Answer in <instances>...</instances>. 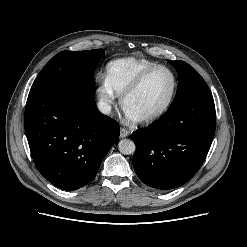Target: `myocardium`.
Listing matches in <instances>:
<instances>
[{
	"label": "myocardium",
	"instance_id": "myocardium-1",
	"mask_svg": "<svg viewBox=\"0 0 247 247\" xmlns=\"http://www.w3.org/2000/svg\"><path fill=\"white\" fill-rule=\"evenodd\" d=\"M165 71L167 72L171 78H172V82H173V87H172V91L171 94L168 98V100L157 110L150 112V113H146V114H142V115H138L139 118V122H150L153 121L157 118H159L160 116H162L172 105L176 93H177V89H178V81L176 78V75L174 74V72L164 66V65H155L145 71H143L142 73H140L128 86L127 88L122 92L121 96H120V105L122 107V109L125 111V113L127 112V108H126V101L139 89V87L142 85V83L144 82V80L151 75L152 73L156 72V71Z\"/></svg>",
	"mask_w": 247,
	"mask_h": 247
}]
</instances>
